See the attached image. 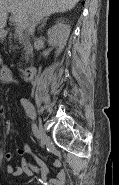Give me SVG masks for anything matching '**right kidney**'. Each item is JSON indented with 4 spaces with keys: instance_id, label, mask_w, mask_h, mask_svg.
Returning <instances> with one entry per match:
<instances>
[{
    "instance_id": "right-kidney-1",
    "label": "right kidney",
    "mask_w": 119,
    "mask_h": 185,
    "mask_svg": "<svg viewBox=\"0 0 119 185\" xmlns=\"http://www.w3.org/2000/svg\"><path fill=\"white\" fill-rule=\"evenodd\" d=\"M70 26L59 22L47 31L48 42L51 46L57 47L56 55H59L66 45L70 34Z\"/></svg>"
}]
</instances>
